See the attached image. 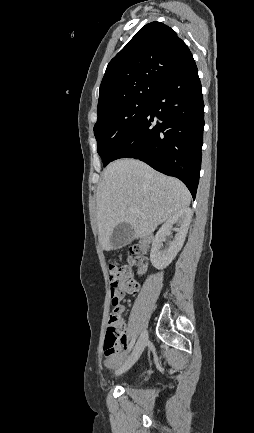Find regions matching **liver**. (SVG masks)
Returning <instances> with one entry per match:
<instances>
[{
    "label": "liver",
    "instance_id": "6515ba94",
    "mask_svg": "<svg viewBox=\"0 0 254 433\" xmlns=\"http://www.w3.org/2000/svg\"><path fill=\"white\" fill-rule=\"evenodd\" d=\"M190 200V192L181 181L155 171L142 161L119 159L110 163L103 172L96 196L102 249H113L110 238L119 223L130 224L134 229L133 238H141L172 215L187 209Z\"/></svg>",
    "mask_w": 254,
    "mask_h": 433
}]
</instances>
